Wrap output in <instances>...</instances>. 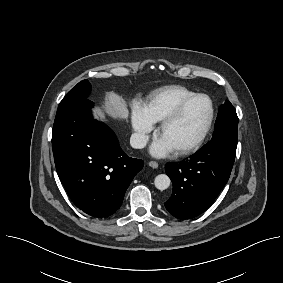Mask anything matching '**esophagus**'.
<instances>
[{
  "mask_svg": "<svg viewBox=\"0 0 283 283\" xmlns=\"http://www.w3.org/2000/svg\"><path fill=\"white\" fill-rule=\"evenodd\" d=\"M148 164H149V166L152 167L153 169L158 168V163L155 162V161H150Z\"/></svg>",
  "mask_w": 283,
  "mask_h": 283,
  "instance_id": "esophagus-1",
  "label": "esophagus"
}]
</instances>
